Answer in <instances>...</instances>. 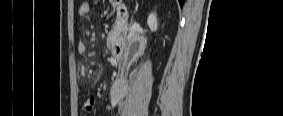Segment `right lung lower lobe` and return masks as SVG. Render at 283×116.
I'll return each instance as SVG.
<instances>
[{"mask_svg":"<svg viewBox=\"0 0 283 116\" xmlns=\"http://www.w3.org/2000/svg\"><path fill=\"white\" fill-rule=\"evenodd\" d=\"M184 0H179L180 5L182 6Z\"/></svg>","mask_w":283,"mask_h":116,"instance_id":"obj_1","label":"right lung lower lobe"}]
</instances>
